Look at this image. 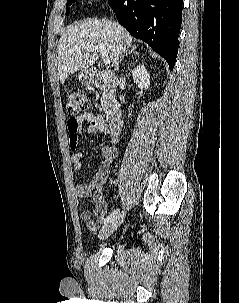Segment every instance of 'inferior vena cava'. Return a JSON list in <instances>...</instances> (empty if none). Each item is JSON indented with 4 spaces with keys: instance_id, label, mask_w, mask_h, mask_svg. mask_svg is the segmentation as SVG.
<instances>
[{
    "instance_id": "inferior-vena-cava-1",
    "label": "inferior vena cava",
    "mask_w": 239,
    "mask_h": 303,
    "mask_svg": "<svg viewBox=\"0 0 239 303\" xmlns=\"http://www.w3.org/2000/svg\"><path fill=\"white\" fill-rule=\"evenodd\" d=\"M118 63H119V55L116 58V68L118 69Z\"/></svg>"
}]
</instances>
